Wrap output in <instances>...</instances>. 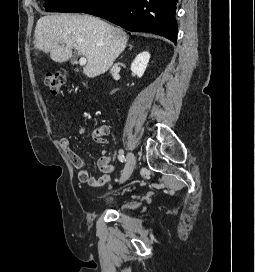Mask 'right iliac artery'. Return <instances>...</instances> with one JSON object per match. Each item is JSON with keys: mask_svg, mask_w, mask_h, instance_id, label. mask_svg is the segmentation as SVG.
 Wrapping results in <instances>:
<instances>
[{"mask_svg": "<svg viewBox=\"0 0 255 272\" xmlns=\"http://www.w3.org/2000/svg\"><path fill=\"white\" fill-rule=\"evenodd\" d=\"M118 159H119L121 162H125V161H126V158H125L124 154H120V155L118 156Z\"/></svg>", "mask_w": 255, "mask_h": 272, "instance_id": "obj_1", "label": "right iliac artery"}]
</instances>
